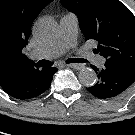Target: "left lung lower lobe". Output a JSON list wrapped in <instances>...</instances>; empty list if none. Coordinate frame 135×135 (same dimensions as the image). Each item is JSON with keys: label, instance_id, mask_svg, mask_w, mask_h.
<instances>
[{"label": "left lung lower lobe", "instance_id": "1", "mask_svg": "<svg viewBox=\"0 0 135 135\" xmlns=\"http://www.w3.org/2000/svg\"><path fill=\"white\" fill-rule=\"evenodd\" d=\"M91 67L98 74V81L93 86L88 87L87 90L98 98L115 97L135 81V78L106 65L100 70L94 65Z\"/></svg>", "mask_w": 135, "mask_h": 135}]
</instances>
